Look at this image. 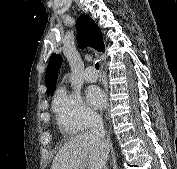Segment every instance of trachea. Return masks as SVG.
I'll return each mask as SVG.
<instances>
[{
    "label": "trachea",
    "instance_id": "obj_1",
    "mask_svg": "<svg viewBox=\"0 0 177 169\" xmlns=\"http://www.w3.org/2000/svg\"><path fill=\"white\" fill-rule=\"evenodd\" d=\"M95 68H96L97 70H99L100 64H99L98 62L95 64Z\"/></svg>",
    "mask_w": 177,
    "mask_h": 169
}]
</instances>
